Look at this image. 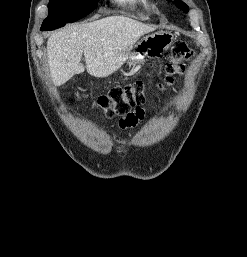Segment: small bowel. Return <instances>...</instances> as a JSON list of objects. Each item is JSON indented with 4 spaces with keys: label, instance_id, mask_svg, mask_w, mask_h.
Returning a JSON list of instances; mask_svg holds the SVG:
<instances>
[{
    "label": "small bowel",
    "instance_id": "obj_1",
    "mask_svg": "<svg viewBox=\"0 0 247 257\" xmlns=\"http://www.w3.org/2000/svg\"><path fill=\"white\" fill-rule=\"evenodd\" d=\"M144 111L142 109L135 110L132 114H130L127 118H124L120 121V126L122 128L126 127H133L136 126V124L143 119Z\"/></svg>",
    "mask_w": 247,
    "mask_h": 257
}]
</instances>
